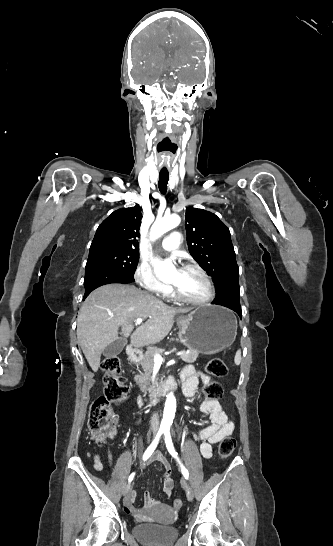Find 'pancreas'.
I'll return each instance as SVG.
<instances>
[{
	"instance_id": "obj_1",
	"label": "pancreas",
	"mask_w": 333,
	"mask_h": 546,
	"mask_svg": "<svg viewBox=\"0 0 333 546\" xmlns=\"http://www.w3.org/2000/svg\"><path fill=\"white\" fill-rule=\"evenodd\" d=\"M164 352V349L162 348H149L143 358L140 361V365L143 369V372L139 375L135 376V381L139 384L142 391H145L147 389V385L149 384V381L151 380V375L154 369V355L156 353L162 354ZM199 355V352L197 351H190L188 354L185 353L180 356V358L186 362V363H194Z\"/></svg>"
}]
</instances>
